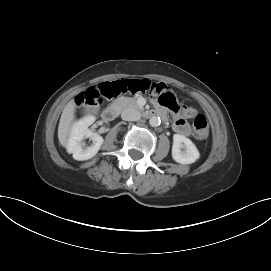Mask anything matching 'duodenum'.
Returning <instances> with one entry per match:
<instances>
[{"label":"duodenum","instance_id":"410a0bca","mask_svg":"<svg viewBox=\"0 0 271 271\" xmlns=\"http://www.w3.org/2000/svg\"><path fill=\"white\" fill-rule=\"evenodd\" d=\"M118 114V107L115 105L109 106L105 108L102 113L101 117L104 121H112L116 118ZM144 117H154V116H160L161 118H166V115L163 110H149V111H144L143 112Z\"/></svg>","mask_w":271,"mask_h":271}]
</instances>
